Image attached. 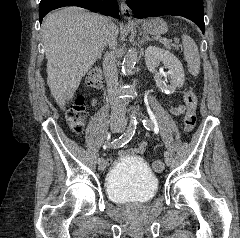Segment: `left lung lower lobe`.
<instances>
[{
    "instance_id": "1",
    "label": "left lung lower lobe",
    "mask_w": 240,
    "mask_h": 238,
    "mask_svg": "<svg viewBox=\"0 0 240 238\" xmlns=\"http://www.w3.org/2000/svg\"><path fill=\"white\" fill-rule=\"evenodd\" d=\"M127 5L136 18L183 16L205 32L203 0H127Z\"/></svg>"
}]
</instances>
